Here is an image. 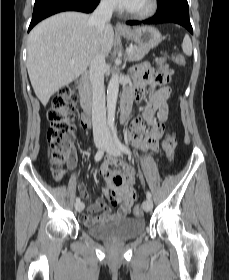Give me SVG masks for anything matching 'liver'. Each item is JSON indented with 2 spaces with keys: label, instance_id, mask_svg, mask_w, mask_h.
Segmentation results:
<instances>
[{
  "label": "liver",
  "instance_id": "liver-1",
  "mask_svg": "<svg viewBox=\"0 0 229 280\" xmlns=\"http://www.w3.org/2000/svg\"><path fill=\"white\" fill-rule=\"evenodd\" d=\"M89 19L83 13H59L30 32L27 70L34 92L44 106L61 87L83 74L97 53L109 54L114 42L113 27L106 24L99 33Z\"/></svg>",
  "mask_w": 229,
  "mask_h": 280
}]
</instances>
